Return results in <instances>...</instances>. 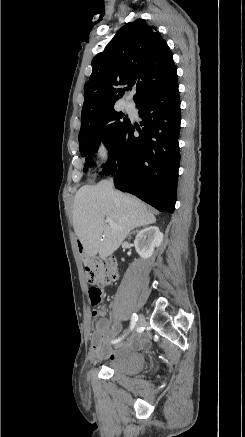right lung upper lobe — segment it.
<instances>
[{"label": "right lung upper lobe", "mask_w": 245, "mask_h": 437, "mask_svg": "<svg viewBox=\"0 0 245 437\" xmlns=\"http://www.w3.org/2000/svg\"><path fill=\"white\" fill-rule=\"evenodd\" d=\"M125 85L136 86L135 102L178 85L166 41L144 19L120 28L105 50L93 58L92 74L84 86L81 126L113 108L129 90Z\"/></svg>", "instance_id": "cb5924a9"}]
</instances>
